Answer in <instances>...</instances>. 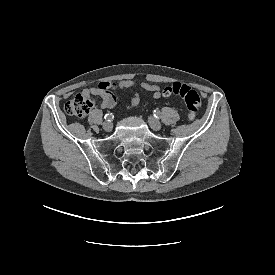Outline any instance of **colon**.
Here are the masks:
<instances>
[{
	"mask_svg": "<svg viewBox=\"0 0 275 275\" xmlns=\"http://www.w3.org/2000/svg\"><path fill=\"white\" fill-rule=\"evenodd\" d=\"M164 96H178L186 106L187 119L194 120L200 112L201 100L199 94L187 84L174 82L165 86L162 90ZM93 105L92 96L76 95L64 105V111L76 118H83L87 115Z\"/></svg>",
	"mask_w": 275,
	"mask_h": 275,
	"instance_id": "1",
	"label": "colon"
}]
</instances>
